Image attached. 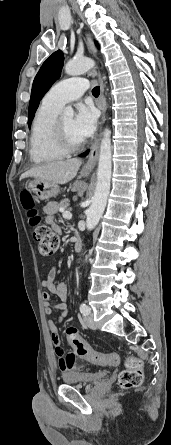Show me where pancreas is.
I'll return each instance as SVG.
<instances>
[{
    "label": "pancreas",
    "mask_w": 171,
    "mask_h": 445,
    "mask_svg": "<svg viewBox=\"0 0 171 445\" xmlns=\"http://www.w3.org/2000/svg\"><path fill=\"white\" fill-rule=\"evenodd\" d=\"M56 207L55 212H58L59 208H67L69 206V199L65 198L60 201V203H54Z\"/></svg>",
    "instance_id": "cf45deb5"
}]
</instances>
